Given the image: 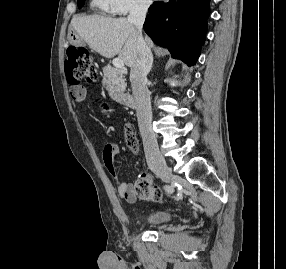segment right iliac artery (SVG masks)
I'll list each match as a JSON object with an SVG mask.
<instances>
[{
  "label": "right iliac artery",
  "mask_w": 286,
  "mask_h": 269,
  "mask_svg": "<svg viewBox=\"0 0 286 269\" xmlns=\"http://www.w3.org/2000/svg\"><path fill=\"white\" fill-rule=\"evenodd\" d=\"M166 189H167L168 192H172L170 188L166 187Z\"/></svg>",
  "instance_id": "right-iliac-artery-1"
}]
</instances>
